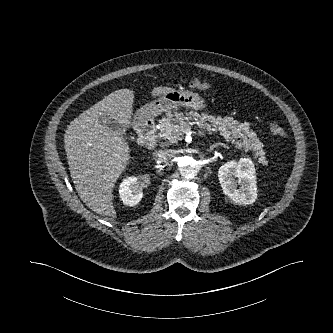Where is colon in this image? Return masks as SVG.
<instances>
[{"label":"colon","mask_w":333,"mask_h":333,"mask_svg":"<svg viewBox=\"0 0 333 333\" xmlns=\"http://www.w3.org/2000/svg\"><path fill=\"white\" fill-rule=\"evenodd\" d=\"M189 87L193 90H206L209 87V83L206 79L203 78H194L190 80L189 82ZM270 131L278 137H286V132L284 128H282L280 125L271 123L270 126Z\"/></svg>","instance_id":"colon-1"}]
</instances>
